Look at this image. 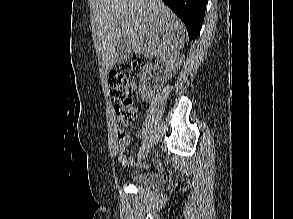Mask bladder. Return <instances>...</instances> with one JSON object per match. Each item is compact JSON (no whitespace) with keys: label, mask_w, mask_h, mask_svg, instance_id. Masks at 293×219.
Returning a JSON list of instances; mask_svg holds the SVG:
<instances>
[{"label":"bladder","mask_w":293,"mask_h":219,"mask_svg":"<svg viewBox=\"0 0 293 219\" xmlns=\"http://www.w3.org/2000/svg\"><path fill=\"white\" fill-rule=\"evenodd\" d=\"M130 182L139 188L157 190L164 184V179L154 171H144L132 174L130 176Z\"/></svg>","instance_id":"bladder-1"}]
</instances>
